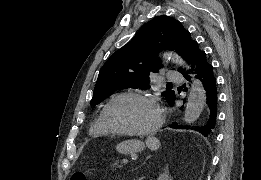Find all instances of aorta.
I'll list each match as a JSON object with an SVG mask.
<instances>
[{
  "mask_svg": "<svg viewBox=\"0 0 261 180\" xmlns=\"http://www.w3.org/2000/svg\"><path fill=\"white\" fill-rule=\"evenodd\" d=\"M163 57L170 59L178 66L187 67L189 69L186 62L177 54L165 53ZM205 98L206 94L202 82L198 79H192L191 90L184 112V122L191 124L200 117L205 106Z\"/></svg>",
  "mask_w": 261,
  "mask_h": 180,
  "instance_id": "obj_1",
  "label": "aorta"
}]
</instances>
